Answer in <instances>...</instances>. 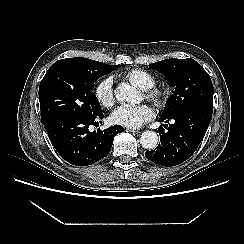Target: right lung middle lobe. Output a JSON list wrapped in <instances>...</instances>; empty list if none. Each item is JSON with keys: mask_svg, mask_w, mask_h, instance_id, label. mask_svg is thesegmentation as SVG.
Wrapping results in <instances>:
<instances>
[{"mask_svg": "<svg viewBox=\"0 0 244 244\" xmlns=\"http://www.w3.org/2000/svg\"><path fill=\"white\" fill-rule=\"evenodd\" d=\"M119 67L98 61L80 62L71 58L56 61L39 86L42 123L57 116L101 114L100 103L92 92L94 82Z\"/></svg>", "mask_w": 244, "mask_h": 244, "instance_id": "dd1d6c3e", "label": "right lung middle lobe"}]
</instances>
